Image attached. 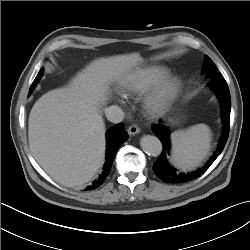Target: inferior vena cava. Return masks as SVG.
Instances as JSON below:
<instances>
[{"label":"inferior vena cava","mask_w":250,"mask_h":250,"mask_svg":"<svg viewBox=\"0 0 250 250\" xmlns=\"http://www.w3.org/2000/svg\"><path fill=\"white\" fill-rule=\"evenodd\" d=\"M107 119L112 123H120L124 119V112L119 106L113 105L105 109Z\"/></svg>","instance_id":"602c4592"}]
</instances>
